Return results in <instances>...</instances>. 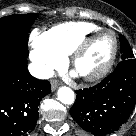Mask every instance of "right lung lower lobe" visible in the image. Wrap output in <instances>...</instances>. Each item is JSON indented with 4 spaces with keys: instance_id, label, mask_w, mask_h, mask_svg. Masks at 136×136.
Returning <instances> with one entry per match:
<instances>
[{
    "instance_id": "right-lung-lower-lobe-1",
    "label": "right lung lower lobe",
    "mask_w": 136,
    "mask_h": 136,
    "mask_svg": "<svg viewBox=\"0 0 136 136\" xmlns=\"http://www.w3.org/2000/svg\"><path fill=\"white\" fill-rule=\"evenodd\" d=\"M27 57L0 55V136H27L37 122L38 106L50 83L27 70Z\"/></svg>"
}]
</instances>
